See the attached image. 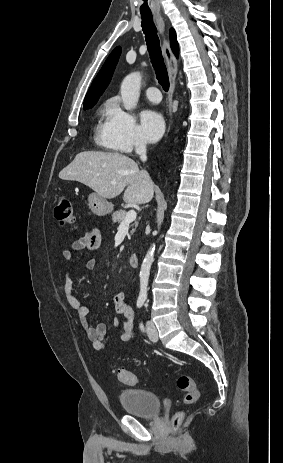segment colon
Segmentation results:
<instances>
[{
	"label": "colon",
	"instance_id": "obj_1",
	"mask_svg": "<svg viewBox=\"0 0 283 463\" xmlns=\"http://www.w3.org/2000/svg\"><path fill=\"white\" fill-rule=\"evenodd\" d=\"M55 217L61 225H71L74 223L75 217L71 200L66 197H61L55 209ZM118 380L126 385H137L140 382L139 377L125 369H118L116 371ZM177 387L183 393L182 403L185 406L195 404L200 397V392L195 381L187 375H180L177 379ZM185 411H178L174 418L173 424L177 428L183 421Z\"/></svg>",
	"mask_w": 283,
	"mask_h": 463
}]
</instances>
